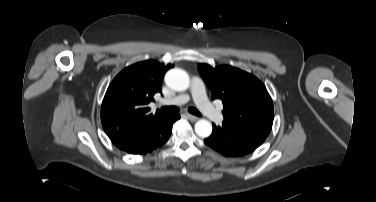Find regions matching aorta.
<instances>
[{
	"label": "aorta",
	"mask_w": 376,
	"mask_h": 202,
	"mask_svg": "<svg viewBox=\"0 0 376 202\" xmlns=\"http://www.w3.org/2000/svg\"><path fill=\"white\" fill-rule=\"evenodd\" d=\"M165 82L171 89L182 92L189 88L190 79L187 72L174 68L166 73ZM195 132L199 137L207 138L212 133V124L206 119H200L195 124Z\"/></svg>",
	"instance_id": "1"
}]
</instances>
